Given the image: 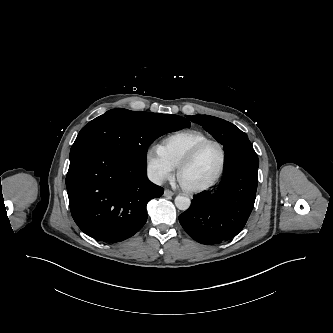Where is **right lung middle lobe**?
Returning a JSON list of instances; mask_svg holds the SVG:
<instances>
[{
	"label": "right lung middle lobe",
	"mask_w": 333,
	"mask_h": 333,
	"mask_svg": "<svg viewBox=\"0 0 333 333\" xmlns=\"http://www.w3.org/2000/svg\"><path fill=\"white\" fill-rule=\"evenodd\" d=\"M190 125L188 120L177 115L117 108L83 127L72 147L95 143L121 154L133 163L146 166L147 149L155 139Z\"/></svg>",
	"instance_id": "1"
}]
</instances>
